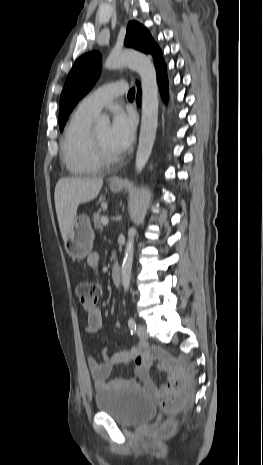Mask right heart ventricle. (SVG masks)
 Segmentation results:
<instances>
[{"instance_id": "1", "label": "right heart ventricle", "mask_w": 263, "mask_h": 465, "mask_svg": "<svg viewBox=\"0 0 263 465\" xmlns=\"http://www.w3.org/2000/svg\"><path fill=\"white\" fill-rule=\"evenodd\" d=\"M93 118L77 109L65 127L61 154L67 170L74 175L94 174L102 169L89 137Z\"/></svg>"}]
</instances>
